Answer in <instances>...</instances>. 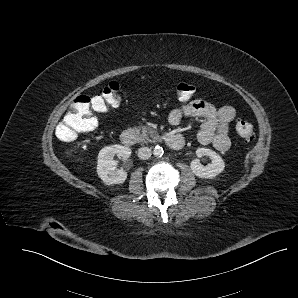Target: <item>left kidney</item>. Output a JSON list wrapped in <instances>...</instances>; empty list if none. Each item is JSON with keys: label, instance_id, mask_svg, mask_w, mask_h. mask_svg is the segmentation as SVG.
<instances>
[{"label": "left kidney", "instance_id": "obj_1", "mask_svg": "<svg viewBox=\"0 0 298 298\" xmlns=\"http://www.w3.org/2000/svg\"><path fill=\"white\" fill-rule=\"evenodd\" d=\"M195 153L197 158L191 161V169L196 176L210 178L223 170L224 163L222 158L213 150L200 147L196 149ZM205 155L209 156L211 160V163L206 166L202 165L200 162V159Z\"/></svg>", "mask_w": 298, "mask_h": 298}]
</instances>
